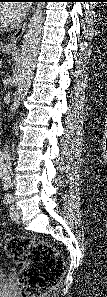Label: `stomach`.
Returning <instances> with one entry per match:
<instances>
[{
    "instance_id": "obj_1",
    "label": "stomach",
    "mask_w": 107,
    "mask_h": 297,
    "mask_svg": "<svg viewBox=\"0 0 107 297\" xmlns=\"http://www.w3.org/2000/svg\"><path fill=\"white\" fill-rule=\"evenodd\" d=\"M13 51H14L13 48H11V49H5V50H4V52H5L6 54H8V55L12 54Z\"/></svg>"
}]
</instances>
